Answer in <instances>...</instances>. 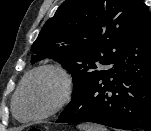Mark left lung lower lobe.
I'll return each mask as SVG.
<instances>
[{"mask_svg": "<svg viewBox=\"0 0 151 131\" xmlns=\"http://www.w3.org/2000/svg\"><path fill=\"white\" fill-rule=\"evenodd\" d=\"M56 122L151 131V13L144 3L130 43L115 67L72 98Z\"/></svg>", "mask_w": 151, "mask_h": 131, "instance_id": "1", "label": "left lung lower lobe"}]
</instances>
